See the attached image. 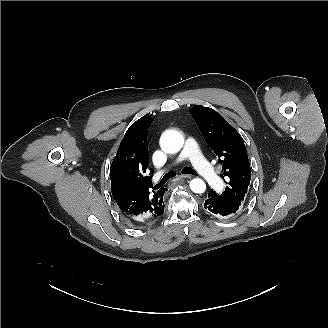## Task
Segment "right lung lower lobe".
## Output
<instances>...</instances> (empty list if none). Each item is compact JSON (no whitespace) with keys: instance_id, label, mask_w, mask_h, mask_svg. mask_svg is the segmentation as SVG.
Returning a JSON list of instances; mask_svg holds the SVG:
<instances>
[{"instance_id":"right-lung-lower-lobe-1","label":"right lung lower lobe","mask_w":328,"mask_h":328,"mask_svg":"<svg viewBox=\"0 0 328 328\" xmlns=\"http://www.w3.org/2000/svg\"><path fill=\"white\" fill-rule=\"evenodd\" d=\"M123 216H124V218H126L125 215H123ZM126 220H128L131 224H134L133 221H131V219L126 218Z\"/></svg>"}]
</instances>
